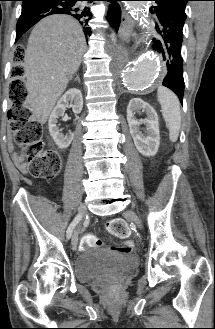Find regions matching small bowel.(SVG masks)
Returning a JSON list of instances; mask_svg holds the SVG:
<instances>
[{
    "mask_svg": "<svg viewBox=\"0 0 215 329\" xmlns=\"http://www.w3.org/2000/svg\"><path fill=\"white\" fill-rule=\"evenodd\" d=\"M14 156V161L17 164V166L22 170V171H26L27 170V166L25 164V162L23 161V158L21 155L17 154V153H13Z\"/></svg>",
    "mask_w": 215,
    "mask_h": 329,
    "instance_id": "obj_1",
    "label": "small bowel"
}]
</instances>
